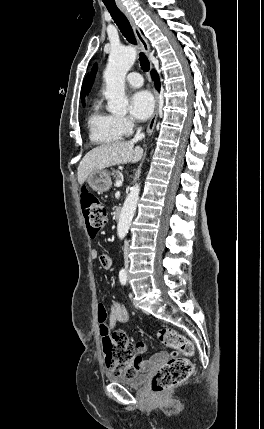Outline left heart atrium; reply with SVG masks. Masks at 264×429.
Masks as SVG:
<instances>
[{
  "mask_svg": "<svg viewBox=\"0 0 264 429\" xmlns=\"http://www.w3.org/2000/svg\"><path fill=\"white\" fill-rule=\"evenodd\" d=\"M154 110L152 95L145 90L134 93L130 99V113L137 120H146Z\"/></svg>",
  "mask_w": 264,
  "mask_h": 429,
  "instance_id": "1",
  "label": "left heart atrium"
}]
</instances>
